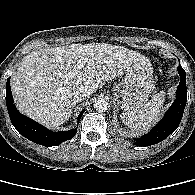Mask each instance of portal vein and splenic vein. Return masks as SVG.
Wrapping results in <instances>:
<instances>
[{"label":"portal vein and splenic vein","mask_w":195,"mask_h":195,"mask_svg":"<svg viewBox=\"0 0 195 195\" xmlns=\"http://www.w3.org/2000/svg\"><path fill=\"white\" fill-rule=\"evenodd\" d=\"M78 68H79V69H82V68H83V65H82V64H81V65H79V66H78Z\"/></svg>","instance_id":"1"}]
</instances>
